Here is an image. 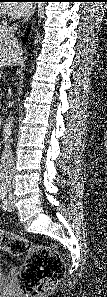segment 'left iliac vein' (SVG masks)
Instances as JSON below:
<instances>
[{
    "instance_id": "obj_1",
    "label": "left iliac vein",
    "mask_w": 107,
    "mask_h": 297,
    "mask_svg": "<svg viewBox=\"0 0 107 297\" xmlns=\"http://www.w3.org/2000/svg\"><path fill=\"white\" fill-rule=\"evenodd\" d=\"M6 205H5V210L7 211H13L15 209V206H14V201H13V196L12 195H9L7 198H6Z\"/></svg>"
}]
</instances>
